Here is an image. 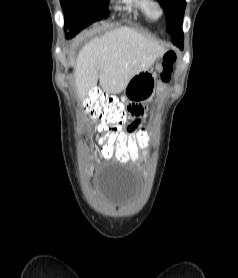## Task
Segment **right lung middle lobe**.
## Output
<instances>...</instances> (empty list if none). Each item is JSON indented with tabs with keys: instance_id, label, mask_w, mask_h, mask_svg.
Masks as SVG:
<instances>
[{
	"instance_id": "obj_1",
	"label": "right lung middle lobe",
	"mask_w": 238,
	"mask_h": 278,
	"mask_svg": "<svg viewBox=\"0 0 238 278\" xmlns=\"http://www.w3.org/2000/svg\"><path fill=\"white\" fill-rule=\"evenodd\" d=\"M63 12L75 11L80 15L79 30L92 22L108 17L109 0H60Z\"/></svg>"
}]
</instances>
